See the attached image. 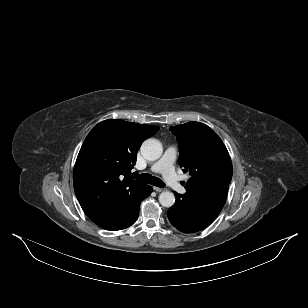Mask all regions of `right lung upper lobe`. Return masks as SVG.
I'll return each mask as SVG.
<instances>
[{
  "instance_id": "cb5924a9",
  "label": "right lung upper lobe",
  "mask_w": 308,
  "mask_h": 308,
  "mask_svg": "<svg viewBox=\"0 0 308 308\" xmlns=\"http://www.w3.org/2000/svg\"><path fill=\"white\" fill-rule=\"evenodd\" d=\"M159 130L120 119L98 123L86 137L76 160L73 183L85 214L98 226L124 220L146 185L131 169L142 142Z\"/></svg>"
}]
</instances>
